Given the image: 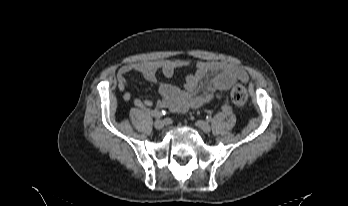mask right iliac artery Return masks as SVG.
Masks as SVG:
<instances>
[{
  "label": "right iliac artery",
  "instance_id": "right-iliac-artery-1",
  "mask_svg": "<svg viewBox=\"0 0 348 206\" xmlns=\"http://www.w3.org/2000/svg\"><path fill=\"white\" fill-rule=\"evenodd\" d=\"M132 102H133V106L134 107H137L138 110H142V111H145L147 109V106L144 105L143 103H141L140 100H137V97H132ZM152 115L156 118H160L162 117L163 115H165V111H152Z\"/></svg>",
  "mask_w": 348,
  "mask_h": 206
}]
</instances>
